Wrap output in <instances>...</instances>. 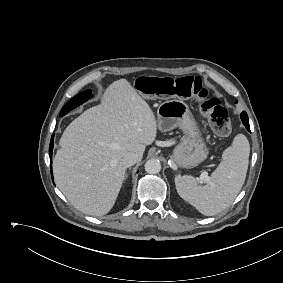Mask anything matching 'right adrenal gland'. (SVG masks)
<instances>
[{"instance_id":"right-adrenal-gland-1","label":"right adrenal gland","mask_w":283,"mask_h":283,"mask_svg":"<svg viewBox=\"0 0 283 283\" xmlns=\"http://www.w3.org/2000/svg\"><path fill=\"white\" fill-rule=\"evenodd\" d=\"M127 176H128V175L126 174L124 179H126Z\"/></svg>"}]
</instances>
